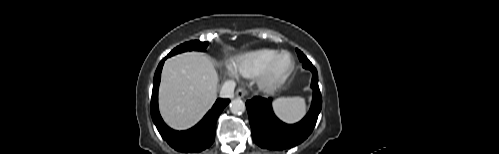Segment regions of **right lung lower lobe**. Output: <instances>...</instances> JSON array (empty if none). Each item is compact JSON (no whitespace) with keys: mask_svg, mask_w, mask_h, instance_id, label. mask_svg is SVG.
<instances>
[{"mask_svg":"<svg viewBox=\"0 0 499 154\" xmlns=\"http://www.w3.org/2000/svg\"><path fill=\"white\" fill-rule=\"evenodd\" d=\"M166 58L160 62L154 75L150 105L152 120L162 138L175 150L191 153L201 152L210 147L214 142L217 118L230 100L217 99L204 118L193 128L181 132L172 130L164 123L158 110V88L162 67Z\"/></svg>","mask_w":499,"mask_h":154,"instance_id":"right-lung-lower-lobe-1","label":"right lung lower lobe"}]
</instances>
